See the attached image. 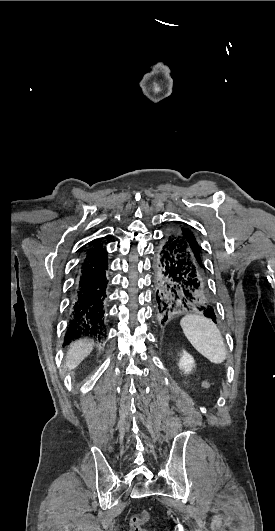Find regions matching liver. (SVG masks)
Instances as JSON below:
<instances>
[{"label": "liver", "instance_id": "6515ba94", "mask_svg": "<svg viewBox=\"0 0 275 531\" xmlns=\"http://www.w3.org/2000/svg\"><path fill=\"white\" fill-rule=\"evenodd\" d=\"M94 343H90L88 339H79L71 343L69 351H67L65 369L72 371L76 369L90 353L93 351Z\"/></svg>", "mask_w": 275, "mask_h": 531}]
</instances>
